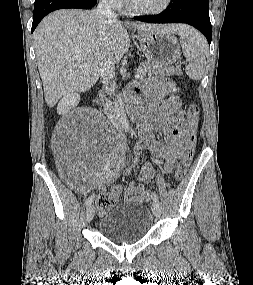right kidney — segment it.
<instances>
[{
	"instance_id": "ca27d5eb",
	"label": "right kidney",
	"mask_w": 253,
	"mask_h": 285,
	"mask_svg": "<svg viewBox=\"0 0 253 285\" xmlns=\"http://www.w3.org/2000/svg\"><path fill=\"white\" fill-rule=\"evenodd\" d=\"M80 100V96L76 93H70L65 95L58 103L57 112L59 114H64L70 109L75 107Z\"/></svg>"
}]
</instances>
